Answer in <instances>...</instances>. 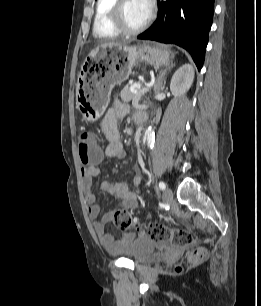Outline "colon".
<instances>
[{"label":"colon","instance_id":"obj_1","mask_svg":"<svg viewBox=\"0 0 261 306\" xmlns=\"http://www.w3.org/2000/svg\"><path fill=\"white\" fill-rule=\"evenodd\" d=\"M79 158L83 166L98 162L102 156L100 144L88 131H83L78 136ZM111 221L120 230L135 229L157 242L169 243L176 248H185L193 243L192 233L182 228H172L160 223H150L141 226L136 223L132 215L126 210H115L112 212ZM204 249L197 248L189 256L192 263L201 260Z\"/></svg>","mask_w":261,"mask_h":306}]
</instances>
